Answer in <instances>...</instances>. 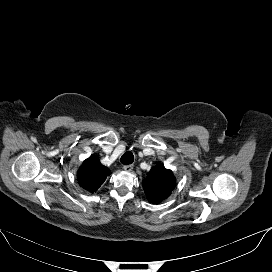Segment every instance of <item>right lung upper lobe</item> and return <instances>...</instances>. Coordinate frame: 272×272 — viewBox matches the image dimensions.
Wrapping results in <instances>:
<instances>
[{
	"label": "right lung upper lobe",
	"mask_w": 272,
	"mask_h": 272,
	"mask_svg": "<svg viewBox=\"0 0 272 272\" xmlns=\"http://www.w3.org/2000/svg\"><path fill=\"white\" fill-rule=\"evenodd\" d=\"M110 175L108 168L103 166L96 156L86 159L78 170L79 184L87 191L95 192Z\"/></svg>",
	"instance_id": "right-lung-upper-lobe-1"
}]
</instances>
